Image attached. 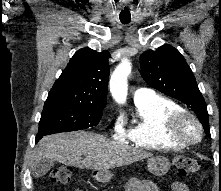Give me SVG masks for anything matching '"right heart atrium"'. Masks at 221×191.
<instances>
[{
  "mask_svg": "<svg viewBox=\"0 0 221 191\" xmlns=\"http://www.w3.org/2000/svg\"><path fill=\"white\" fill-rule=\"evenodd\" d=\"M113 135L115 138H125V129L120 118H116L113 124Z\"/></svg>",
  "mask_w": 221,
  "mask_h": 191,
  "instance_id": "right-heart-atrium-1",
  "label": "right heart atrium"
}]
</instances>
